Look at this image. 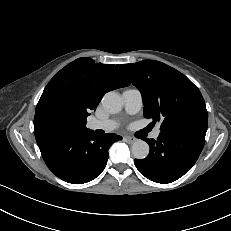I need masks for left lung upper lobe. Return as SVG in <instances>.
Returning <instances> with one entry per match:
<instances>
[{
  "instance_id": "1",
  "label": "left lung upper lobe",
  "mask_w": 231,
  "mask_h": 231,
  "mask_svg": "<svg viewBox=\"0 0 231 231\" xmlns=\"http://www.w3.org/2000/svg\"><path fill=\"white\" fill-rule=\"evenodd\" d=\"M119 69L142 93L144 116L160 131H207L208 113L199 89L176 69L155 60L121 64Z\"/></svg>"
}]
</instances>
